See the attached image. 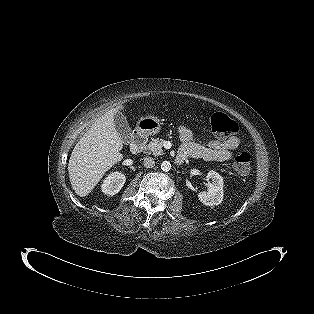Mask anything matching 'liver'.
<instances>
[{"mask_svg":"<svg viewBox=\"0 0 314 314\" xmlns=\"http://www.w3.org/2000/svg\"><path fill=\"white\" fill-rule=\"evenodd\" d=\"M123 106L111 109L99 117L80 138L68 163L72 189L80 197L87 196L105 173L123 159V142L114 116Z\"/></svg>","mask_w":314,"mask_h":314,"instance_id":"6515ba94","label":"liver"}]
</instances>
